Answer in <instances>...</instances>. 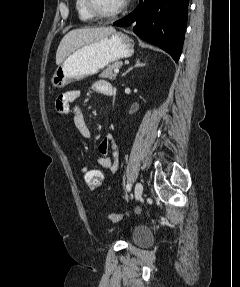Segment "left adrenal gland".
<instances>
[{"mask_svg":"<svg viewBox=\"0 0 240 287\" xmlns=\"http://www.w3.org/2000/svg\"><path fill=\"white\" fill-rule=\"evenodd\" d=\"M142 66H145V63H142V62L140 61V59H136L135 65L132 66V67H130V68H128V69L122 74V76H125L127 73H129V72H130L132 69H134L135 67H142Z\"/></svg>","mask_w":240,"mask_h":287,"instance_id":"1","label":"left adrenal gland"}]
</instances>
